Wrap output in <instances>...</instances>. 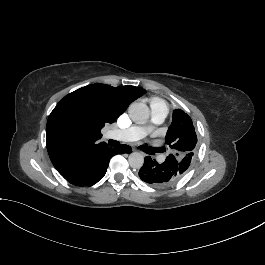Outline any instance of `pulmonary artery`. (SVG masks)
<instances>
[{
    "instance_id": "pulmonary-artery-1",
    "label": "pulmonary artery",
    "mask_w": 265,
    "mask_h": 265,
    "mask_svg": "<svg viewBox=\"0 0 265 265\" xmlns=\"http://www.w3.org/2000/svg\"><path fill=\"white\" fill-rule=\"evenodd\" d=\"M171 105L169 102L164 101L152 107L151 112L154 115L153 119L155 122L160 123L163 119H166L170 115ZM144 135V132L140 128H116L112 132V137L116 141H124L126 139H140Z\"/></svg>"
}]
</instances>
